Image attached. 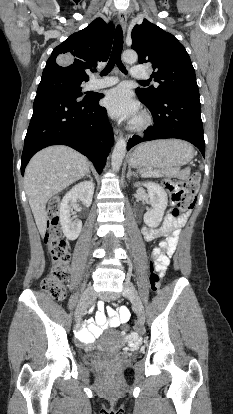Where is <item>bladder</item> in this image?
Returning <instances> with one entry per match:
<instances>
[{
  "instance_id": "obj_1",
  "label": "bladder",
  "mask_w": 233,
  "mask_h": 414,
  "mask_svg": "<svg viewBox=\"0 0 233 414\" xmlns=\"http://www.w3.org/2000/svg\"><path fill=\"white\" fill-rule=\"evenodd\" d=\"M113 352H114V350L112 348H106V349H103V350L98 351L96 353L89 354V355L86 356V358L87 359H96V358H99V357H101L105 354H109V353H113Z\"/></svg>"
}]
</instances>
